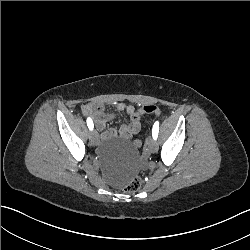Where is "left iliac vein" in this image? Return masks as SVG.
Masks as SVG:
<instances>
[{
    "label": "left iliac vein",
    "mask_w": 250,
    "mask_h": 250,
    "mask_svg": "<svg viewBox=\"0 0 250 250\" xmlns=\"http://www.w3.org/2000/svg\"><path fill=\"white\" fill-rule=\"evenodd\" d=\"M147 146L151 152H155L158 148L156 141L151 137L147 139Z\"/></svg>",
    "instance_id": "left-iliac-vein-1"
}]
</instances>
